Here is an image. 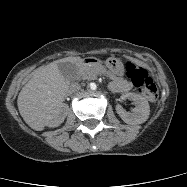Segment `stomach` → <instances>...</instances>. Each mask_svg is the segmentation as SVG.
<instances>
[{"instance_id": "stomach-1", "label": "stomach", "mask_w": 187, "mask_h": 187, "mask_svg": "<svg viewBox=\"0 0 187 187\" xmlns=\"http://www.w3.org/2000/svg\"><path fill=\"white\" fill-rule=\"evenodd\" d=\"M98 64L99 60H95ZM105 66L109 69V72L112 75V79H119L124 74V65L122 61L115 57L108 58L105 62Z\"/></svg>"}]
</instances>
